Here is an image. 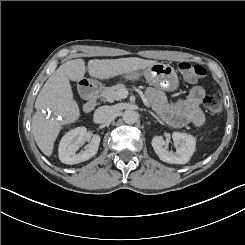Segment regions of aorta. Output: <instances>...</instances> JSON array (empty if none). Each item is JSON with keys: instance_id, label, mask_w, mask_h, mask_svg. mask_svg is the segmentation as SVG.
<instances>
[{"instance_id": "obj_1", "label": "aorta", "mask_w": 245, "mask_h": 245, "mask_svg": "<svg viewBox=\"0 0 245 245\" xmlns=\"http://www.w3.org/2000/svg\"><path fill=\"white\" fill-rule=\"evenodd\" d=\"M122 118L125 123L134 124L138 119V115L133 110H126L123 112Z\"/></svg>"}]
</instances>
